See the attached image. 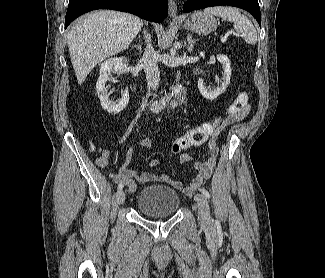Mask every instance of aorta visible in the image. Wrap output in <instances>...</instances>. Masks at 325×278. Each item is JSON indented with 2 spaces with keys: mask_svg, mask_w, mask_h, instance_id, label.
I'll return each instance as SVG.
<instances>
[{
  "mask_svg": "<svg viewBox=\"0 0 325 278\" xmlns=\"http://www.w3.org/2000/svg\"><path fill=\"white\" fill-rule=\"evenodd\" d=\"M181 90H182V85H178L177 87L174 88L172 95H174V97H177L181 93Z\"/></svg>",
  "mask_w": 325,
  "mask_h": 278,
  "instance_id": "1",
  "label": "aorta"
}]
</instances>
